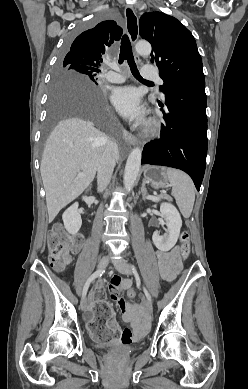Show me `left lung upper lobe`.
Segmentation results:
<instances>
[{"label": "left lung upper lobe", "mask_w": 248, "mask_h": 389, "mask_svg": "<svg viewBox=\"0 0 248 389\" xmlns=\"http://www.w3.org/2000/svg\"><path fill=\"white\" fill-rule=\"evenodd\" d=\"M140 36L152 45L151 61L159 68L165 94L176 84L204 78L202 59L191 32L176 18L162 12L144 13L139 21Z\"/></svg>", "instance_id": "5c2ea615"}]
</instances>
